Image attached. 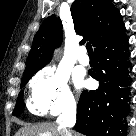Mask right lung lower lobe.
<instances>
[{"instance_id":"obj_1","label":"right lung lower lobe","mask_w":136,"mask_h":136,"mask_svg":"<svg viewBox=\"0 0 136 136\" xmlns=\"http://www.w3.org/2000/svg\"><path fill=\"white\" fill-rule=\"evenodd\" d=\"M127 36L95 48L97 65L90 75L99 81L95 91H83L75 129L87 136H125L129 109Z\"/></svg>"}]
</instances>
